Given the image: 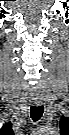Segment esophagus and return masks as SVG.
I'll list each match as a JSON object with an SVG mask.
<instances>
[{
  "label": "esophagus",
  "mask_w": 69,
  "mask_h": 135,
  "mask_svg": "<svg viewBox=\"0 0 69 135\" xmlns=\"http://www.w3.org/2000/svg\"><path fill=\"white\" fill-rule=\"evenodd\" d=\"M35 104H36V105H40V102H39V101H37V102H35Z\"/></svg>",
  "instance_id": "34e87169"
}]
</instances>
